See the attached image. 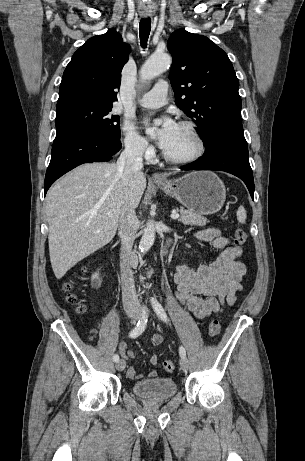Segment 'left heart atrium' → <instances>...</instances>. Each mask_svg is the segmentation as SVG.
<instances>
[{
  "label": "left heart atrium",
  "mask_w": 305,
  "mask_h": 461,
  "mask_svg": "<svg viewBox=\"0 0 305 461\" xmlns=\"http://www.w3.org/2000/svg\"><path fill=\"white\" fill-rule=\"evenodd\" d=\"M178 129V124L171 118L165 117L155 133V139L163 150H166L173 142Z\"/></svg>",
  "instance_id": "39dd6f15"
}]
</instances>
